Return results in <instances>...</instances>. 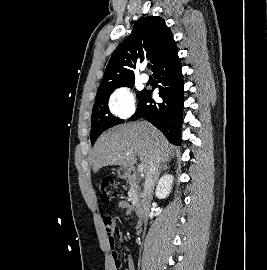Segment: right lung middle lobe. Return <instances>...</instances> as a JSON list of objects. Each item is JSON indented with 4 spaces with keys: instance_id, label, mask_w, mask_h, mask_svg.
I'll return each mask as SVG.
<instances>
[{
    "instance_id": "dd1d6c3e",
    "label": "right lung middle lobe",
    "mask_w": 267,
    "mask_h": 270,
    "mask_svg": "<svg viewBox=\"0 0 267 270\" xmlns=\"http://www.w3.org/2000/svg\"><path fill=\"white\" fill-rule=\"evenodd\" d=\"M134 81L123 83L108 89L97 92L95 104L92 111L91 119V143L93 144L97 137L105 130L123 122L119 118L113 117L108 109V99L110 94L118 87L127 86L132 88ZM145 90L138 92L137 97L140 99Z\"/></svg>"
}]
</instances>
